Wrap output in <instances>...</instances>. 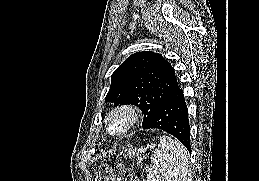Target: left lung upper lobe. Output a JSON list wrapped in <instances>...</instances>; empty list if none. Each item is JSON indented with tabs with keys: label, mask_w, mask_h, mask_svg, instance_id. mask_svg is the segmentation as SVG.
<instances>
[{
	"label": "left lung upper lobe",
	"mask_w": 259,
	"mask_h": 181,
	"mask_svg": "<svg viewBox=\"0 0 259 181\" xmlns=\"http://www.w3.org/2000/svg\"><path fill=\"white\" fill-rule=\"evenodd\" d=\"M177 86L174 68L159 53L130 55L112 74L105 102L115 106L132 104L144 115V128L155 117L163 101Z\"/></svg>",
	"instance_id": "5c2ea615"
}]
</instances>
